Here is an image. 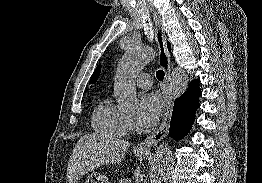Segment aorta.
Here are the masks:
<instances>
[{"label":"aorta","mask_w":262,"mask_h":183,"mask_svg":"<svg viewBox=\"0 0 262 183\" xmlns=\"http://www.w3.org/2000/svg\"><path fill=\"white\" fill-rule=\"evenodd\" d=\"M154 51L149 47L134 46L129 48L118 67L117 77L114 83V93L118 106L122 111L130 112L138 108L136 87L133 78L150 61L154 59ZM188 76L182 68L173 69L168 79L165 91L167 98L176 99L186 90ZM172 155L167 144H161L156 151V159L153 166V183H162L167 180L172 169Z\"/></svg>","instance_id":"obj_1"}]
</instances>
